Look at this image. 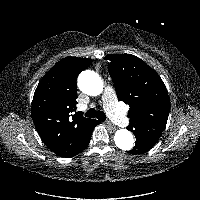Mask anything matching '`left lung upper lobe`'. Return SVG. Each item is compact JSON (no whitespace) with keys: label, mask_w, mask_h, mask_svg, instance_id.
Instances as JSON below:
<instances>
[{"label":"left lung upper lobe","mask_w":200,"mask_h":200,"mask_svg":"<svg viewBox=\"0 0 200 200\" xmlns=\"http://www.w3.org/2000/svg\"><path fill=\"white\" fill-rule=\"evenodd\" d=\"M109 73L118 99L129 104L127 127L136 140L155 144L165 129L170 100L160 76L131 54H109Z\"/></svg>","instance_id":"left-lung-upper-lobe-1"}]
</instances>
